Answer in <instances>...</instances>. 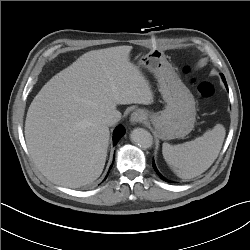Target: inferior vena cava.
<instances>
[{"label":"inferior vena cava","instance_id":"inferior-vena-cava-1","mask_svg":"<svg viewBox=\"0 0 250 250\" xmlns=\"http://www.w3.org/2000/svg\"><path fill=\"white\" fill-rule=\"evenodd\" d=\"M121 119V113L117 110H113L106 114L103 118V123L107 126H112Z\"/></svg>","mask_w":250,"mask_h":250}]
</instances>
